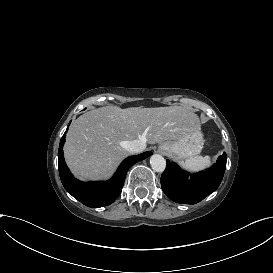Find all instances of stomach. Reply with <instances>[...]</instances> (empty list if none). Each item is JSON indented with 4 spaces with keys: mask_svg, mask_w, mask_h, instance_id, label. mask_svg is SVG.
Listing matches in <instances>:
<instances>
[{
    "mask_svg": "<svg viewBox=\"0 0 273 273\" xmlns=\"http://www.w3.org/2000/svg\"><path fill=\"white\" fill-rule=\"evenodd\" d=\"M203 144L202 134L196 136L188 135L177 141L162 142L158 151L178 159H186L198 155L203 148Z\"/></svg>",
    "mask_w": 273,
    "mask_h": 273,
    "instance_id": "0dacf381",
    "label": "stomach"
}]
</instances>
